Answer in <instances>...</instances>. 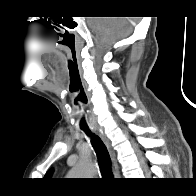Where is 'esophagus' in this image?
Listing matches in <instances>:
<instances>
[{
	"label": "esophagus",
	"mask_w": 196,
	"mask_h": 196,
	"mask_svg": "<svg viewBox=\"0 0 196 196\" xmlns=\"http://www.w3.org/2000/svg\"><path fill=\"white\" fill-rule=\"evenodd\" d=\"M93 129L98 132L99 136L101 137V139L106 144L107 149L109 151V154L111 156L114 176H115V178H119L120 177L119 166H118V163H117V160H116L115 151L113 150V148L111 146L110 140L108 139V137L106 136V134L104 133L102 128H100L99 126H95Z\"/></svg>",
	"instance_id": "esophagus-1"
}]
</instances>
